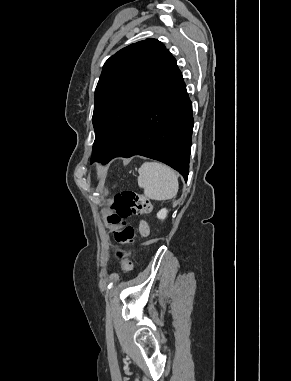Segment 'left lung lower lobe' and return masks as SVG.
<instances>
[{
  "label": "left lung lower lobe",
  "mask_w": 291,
  "mask_h": 381,
  "mask_svg": "<svg viewBox=\"0 0 291 381\" xmlns=\"http://www.w3.org/2000/svg\"><path fill=\"white\" fill-rule=\"evenodd\" d=\"M193 124L192 103L179 71L145 105L102 164L141 155L168 164L187 181Z\"/></svg>",
  "instance_id": "left-lung-lower-lobe-1"
}]
</instances>
